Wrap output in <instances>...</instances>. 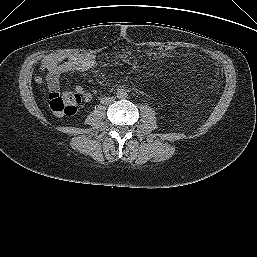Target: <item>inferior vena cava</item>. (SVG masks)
Segmentation results:
<instances>
[{
	"mask_svg": "<svg viewBox=\"0 0 257 257\" xmlns=\"http://www.w3.org/2000/svg\"><path fill=\"white\" fill-rule=\"evenodd\" d=\"M113 101H114L113 97H106V98H103L102 103L109 104V103H112Z\"/></svg>",
	"mask_w": 257,
	"mask_h": 257,
	"instance_id": "1",
	"label": "inferior vena cava"
}]
</instances>
